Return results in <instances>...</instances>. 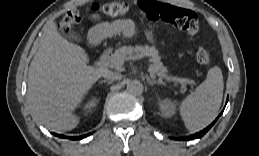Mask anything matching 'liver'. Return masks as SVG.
Returning <instances> with one entry per match:
<instances>
[{
    "label": "liver",
    "mask_w": 259,
    "mask_h": 156,
    "mask_svg": "<svg viewBox=\"0 0 259 156\" xmlns=\"http://www.w3.org/2000/svg\"><path fill=\"white\" fill-rule=\"evenodd\" d=\"M85 50L63 38L55 22L45 29L28 73L27 96L35 117L48 129H74V110L92 85L108 71L89 66Z\"/></svg>",
    "instance_id": "1"
}]
</instances>
